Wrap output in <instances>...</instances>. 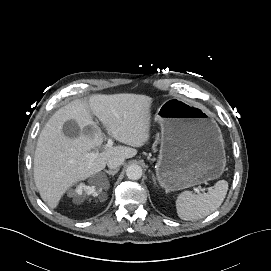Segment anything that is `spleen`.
<instances>
[{
    "label": "spleen",
    "instance_id": "3e777b00",
    "mask_svg": "<svg viewBox=\"0 0 271 271\" xmlns=\"http://www.w3.org/2000/svg\"><path fill=\"white\" fill-rule=\"evenodd\" d=\"M228 191V182L219 180L204 194L184 191L177 197L176 210L182 220H198L217 210L223 203Z\"/></svg>",
    "mask_w": 271,
    "mask_h": 271
}]
</instances>
